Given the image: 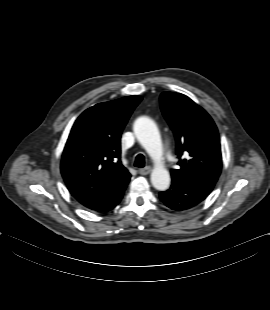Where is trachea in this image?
I'll list each match as a JSON object with an SVG mask.
<instances>
[{"instance_id": "3493384b", "label": "trachea", "mask_w": 270, "mask_h": 310, "mask_svg": "<svg viewBox=\"0 0 270 310\" xmlns=\"http://www.w3.org/2000/svg\"><path fill=\"white\" fill-rule=\"evenodd\" d=\"M134 166L143 168L145 166V157L142 154H138L135 157Z\"/></svg>"}]
</instances>
